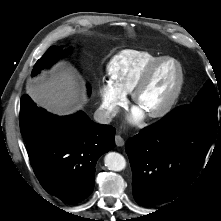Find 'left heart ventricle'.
Here are the masks:
<instances>
[{"label": "left heart ventricle", "instance_id": "obj_1", "mask_svg": "<svg viewBox=\"0 0 221 221\" xmlns=\"http://www.w3.org/2000/svg\"><path fill=\"white\" fill-rule=\"evenodd\" d=\"M177 79L178 71L173 62H165L160 65L149 85L140 95L138 108L145 113L159 108L172 95Z\"/></svg>", "mask_w": 221, "mask_h": 221}]
</instances>
